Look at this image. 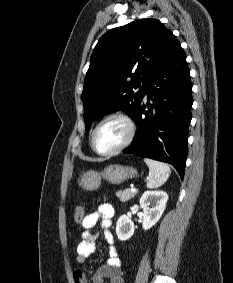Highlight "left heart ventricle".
<instances>
[{
    "label": "left heart ventricle",
    "mask_w": 233,
    "mask_h": 283,
    "mask_svg": "<svg viewBox=\"0 0 233 283\" xmlns=\"http://www.w3.org/2000/svg\"><path fill=\"white\" fill-rule=\"evenodd\" d=\"M126 135L127 127L123 121L119 119L109 120L96 133V148L101 152L111 151L124 141Z\"/></svg>",
    "instance_id": "left-heart-ventricle-1"
}]
</instances>
